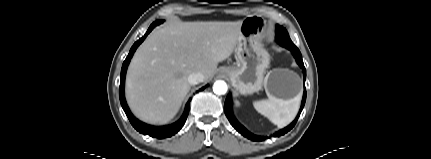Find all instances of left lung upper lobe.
Returning <instances> with one entry per match:
<instances>
[{"mask_svg":"<svg viewBox=\"0 0 431 159\" xmlns=\"http://www.w3.org/2000/svg\"><path fill=\"white\" fill-rule=\"evenodd\" d=\"M277 42L286 48H297L291 41L288 32L282 26L277 27Z\"/></svg>","mask_w":431,"mask_h":159,"instance_id":"obj_1","label":"left lung upper lobe"}]
</instances>
